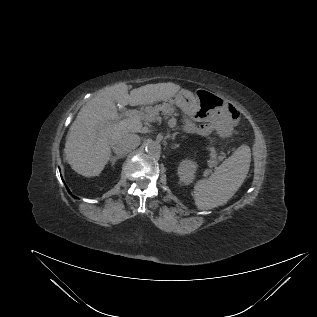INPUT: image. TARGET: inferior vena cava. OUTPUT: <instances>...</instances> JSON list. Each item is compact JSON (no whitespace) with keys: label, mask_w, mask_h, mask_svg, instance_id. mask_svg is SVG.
Segmentation results:
<instances>
[{"label":"inferior vena cava","mask_w":317,"mask_h":317,"mask_svg":"<svg viewBox=\"0 0 317 317\" xmlns=\"http://www.w3.org/2000/svg\"><path fill=\"white\" fill-rule=\"evenodd\" d=\"M140 144L139 136L135 134L126 135L112 143V149L118 156H125Z\"/></svg>","instance_id":"inferior-vena-cava-1"}]
</instances>
